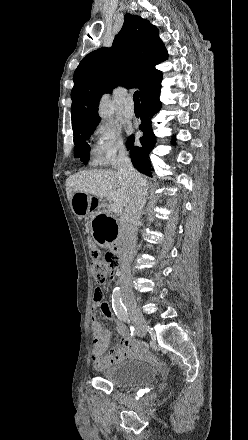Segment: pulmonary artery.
Returning <instances> with one entry per match:
<instances>
[{
	"mask_svg": "<svg viewBox=\"0 0 248 440\" xmlns=\"http://www.w3.org/2000/svg\"><path fill=\"white\" fill-rule=\"evenodd\" d=\"M123 115L126 119H132L134 117V105L131 98H128L125 102Z\"/></svg>",
	"mask_w": 248,
	"mask_h": 440,
	"instance_id": "obj_1",
	"label": "pulmonary artery"
}]
</instances>
